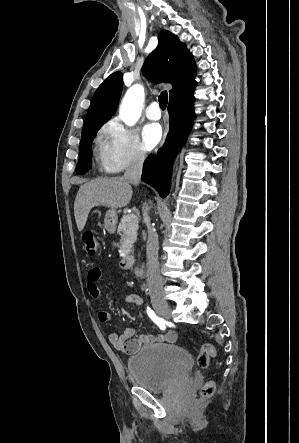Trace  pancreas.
I'll return each instance as SVG.
<instances>
[{
	"label": "pancreas",
	"mask_w": 299,
	"mask_h": 443,
	"mask_svg": "<svg viewBox=\"0 0 299 443\" xmlns=\"http://www.w3.org/2000/svg\"><path fill=\"white\" fill-rule=\"evenodd\" d=\"M129 215H124L118 226V233L121 236L120 252L128 254L131 252L132 245L137 239L138 217L133 220L128 219Z\"/></svg>",
	"instance_id": "obj_1"
}]
</instances>
